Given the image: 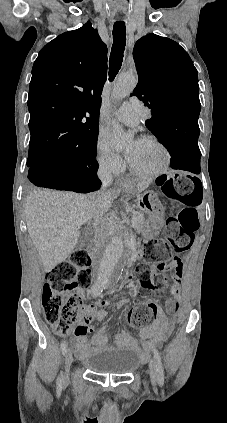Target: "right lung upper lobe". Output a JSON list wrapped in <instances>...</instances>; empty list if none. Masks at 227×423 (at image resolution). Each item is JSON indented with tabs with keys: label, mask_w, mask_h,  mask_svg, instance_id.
<instances>
[{
	"label": "right lung upper lobe",
	"mask_w": 227,
	"mask_h": 423,
	"mask_svg": "<svg viewBox=\"0 0 227 423\" xmlns=\"http://www.w3.org/2000/svg\"><path fill=\"white\" fill-rule=\"evenodd\" d=\"M107 47L91 23L45 45L28 95L29 154L66 148L98 132Z\"/></svg>",
	"instance_id": "cb5924a9"
}]
</instances>
